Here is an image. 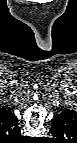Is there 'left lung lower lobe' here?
<instances>
[{
	"label": "left lung lower lobe",
	"mask_w": 77,
	"mask_h": 143,
	"mask_svg": "<svg viewBox=\"0 0 77 143\" xmlns=\"http://www.w3.org/2000/svg\"><path fill=\"white\" fill-rule=\"evenodd\" d=\"M74 115V112L71 110H65L63 112H61L60 114H58L57 116H55L52 120V123H57V122H63V121H67L68 119H70L72 116ZM51 133V132H50Z\"/></svg>",
	"instance_id": "0a47b994"
}]
</instances>
